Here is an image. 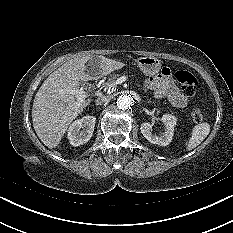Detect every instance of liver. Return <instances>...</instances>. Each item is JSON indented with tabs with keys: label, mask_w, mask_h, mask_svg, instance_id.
<instances>
[{
	"label": "liver",
	"mask_w": 233,
	"mask_h": 233,
	"mask_svg": "<svg viewBox=\"0 0 233 233\" xmlns=\"http://www.w3.org/2000/svg\"><path fill=\"white\" fill-rule=\"evenodd\" d=\"M92 57H75L55 70L36 93L32 121L34 130L45 146L52 149L61 141L71 122L90 104V99L79 101L66 89H78L79 82L96 80L121 69L124 63L104 56L86 73V63Z\"/></svg>",
	"instance_id": "obj_1"
}]
</instances>
